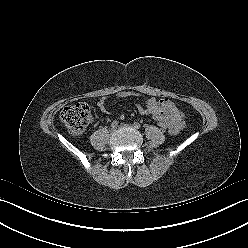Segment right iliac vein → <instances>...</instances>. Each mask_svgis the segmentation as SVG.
<instances>
[{"label": "right iliac vein", "instance_id": "63e3f726", "mask_svg": "<svg viewBox=\"0 0 248 248\" xmlns=\"http://www.w3.org/2000/svg\"><path fill=\"white\" fill-rule=\"evenodd\" d=\"M115 130H116L115 128H111V129L109 130V132L112 134V133H114Z\"/></svg>", "mask_w": 248, "mask_h": 248}]
</instances>
